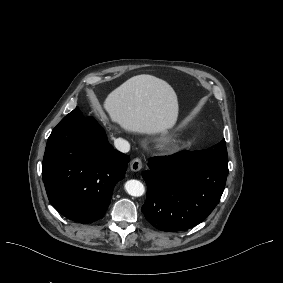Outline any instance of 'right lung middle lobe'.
Wrapping results in <instances>:
<instances>
[{
    "mask_svg": "<svg viewBox=\"0 0 283 283\" xmlns=\"http://www.w3.org/2000/svg\"><path fill=\"white\" fill-rule=\"evenodd\" d=\"M77 111H79L78 107H76L71 113H74V112H77ZM71 113H69V114H71Z\"/></svg>",
    "mask_w": 283,
    "mask_h": 283,
    "instance_id": "dd1d6c3e",
    "label": "right lung middle lobe"
}]
</instances>
